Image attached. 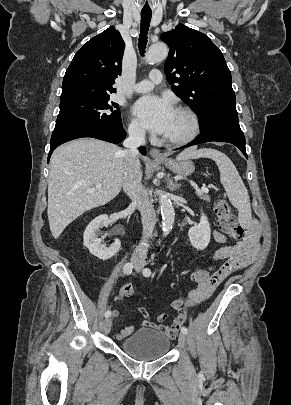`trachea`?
<instances>
[{
  "instance_id": "trachea-1",
  "label": "trachea",
  "mask_w": 291,
  "mask_h": 405,
  "mask_svg": "<svg viewBox=\"0 0 291 405\" xmlns=\"http://www.w3.org/2000/svg\"><path fill=\"white\" fill-rule=\"evenodd\" d=\"M152 12L151 11H141V34L139 38V50L141 53L145 52L147 44V33L150 26Z\"/></svg>"
}]
</instances>
